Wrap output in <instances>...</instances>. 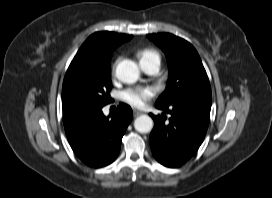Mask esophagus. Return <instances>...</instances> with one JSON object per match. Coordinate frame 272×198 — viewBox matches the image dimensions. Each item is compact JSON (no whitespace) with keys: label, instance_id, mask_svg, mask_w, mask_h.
Returning <instances> with one entry per match:
<instances>
[{"label":"esophagus","instance_id":"1","mask_svg":"<svg viewBox=\"0 0 272 198\" xmlns=\"http://www.w3.org/2000/svg\"><path fill=\"white\" fill-rule=\"evenodd\" d=\"M133 114H134V117H137V116L143 114V112L140 110H137V109H133Z\"/></svg>","mask_w":272,"mask_h":198}]
</instances>
